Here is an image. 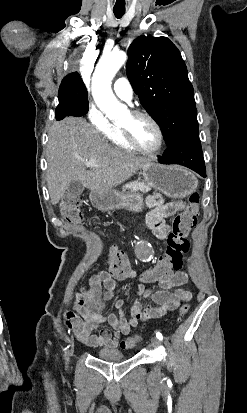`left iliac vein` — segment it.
<instances>
[{"label":"left iliac vein","instance_id":"1","mask_svg":"<svg viewBox=\"0 0 247 413\" xmlns=\"http://www.w3.org/2000/svg\"><path fill=\"white\" fill-rule=\"evenodd\" d=\"M150 343L153 347H158L160 344L159 340L156 337H151Z\"/></svg>","mask_w":247,"mask_h":413}]
</instances>
